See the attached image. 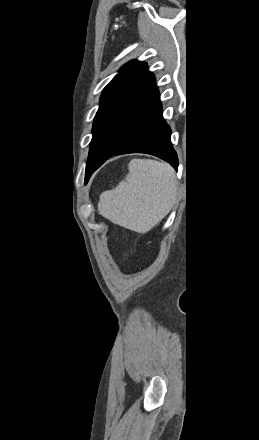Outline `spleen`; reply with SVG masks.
Listing matches in <instances>:
<instances>
[{
	"label": "spleen",
	"mask_w": 259,
	"mask_h": 440,
	"mask_svg": "<svg viewBox=\"0 0 259 440\" xmlns=\"http://www.w3.org/2000/svg\"><path fill=\"white\" fill-rule=\"evenodd\" d=\"M128 169L125 180L100 195L98 211L113 223L145 233L174 206L175 172L169 164L152 159H132Z\"/></svg>",
	"instance_id": "spleen-1"
}]
</instances>
